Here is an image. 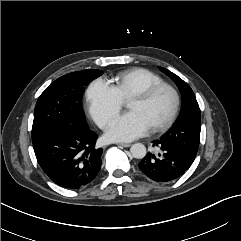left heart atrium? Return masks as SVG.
Instances as JSON below:
<instances>
[{
	"label": "left heart atrium",
	"mask_w": 241,
	"mask_h": 241,
	"mask_svg": "<svg viewBox=\"0 0 241 241\" xmlns=\"http://www.w3.org/2000/svg\"><path fill=\"white\" fill-rule=\"evenodd\" d=\"M150 129L151 125L142 114L130 111L109 124L106 137L111 141H131L147 134Z\"/></svg>",
	"instance_id": "39dd6f15"
}]
</instances>
